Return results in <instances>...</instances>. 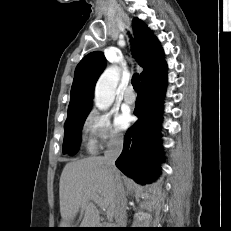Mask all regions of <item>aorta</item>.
Masks as SVG:
<instances>
[{
  "mask_svg": "<svg viewBox=\"0 0 231 231\" xmlns=\"http://www.w3.org/2000/svg\"><path fill=\"white\" fill-rule=\"evenodd\" d=\"M120 78V71L112 66L106 69L100 76L95 87V105L101 109L109 108L115 99V90Z\"/></svg>",
  "mask_w": 231,
  "mask_h": 231,
  "instance_id": "762f6f07",
  "label": "aorta"
}]
</instances>
